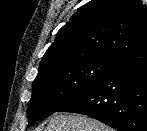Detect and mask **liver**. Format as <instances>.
<instances>
[{"instance_id":"6515ba94","label":"liver","mask_w":147,"mask_h":131,"mask_svg":"<svg viewBox=\"0 0 147 131\" xmlns=\"http://www.w3.org/2000/svg\"><path fill=\"white\" fill-rule=\"evenodd\" d=\"M45 131H112L105 124L84 115L74 113H55L49 120Z\"/></svg>"}]
</instances>
